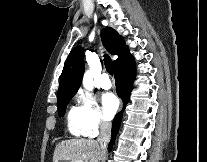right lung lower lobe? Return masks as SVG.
Listing matches in <instances>:
<instances>
[{
	"mask_svg": "<svg viewBox=\"0 0 207 162\" xmlns=\"http://www.w3.org/2000/svg\"><path fill=\"white\" fill-rule=\"evenodd\" d=\"M135 78L134 60L126 62L122 66L115 69L116 91L118 96L123 100L124 105L127 104L132 90V83ZM123 112H118L112 123V136L108 150H111L115 142V136L119 130Z\"/></svg>",
	"mask_w": 207,
	"mask_h": 162,
	"instance_id": "1",
	"label": "right lung lower lobe"
}]
</instances>
